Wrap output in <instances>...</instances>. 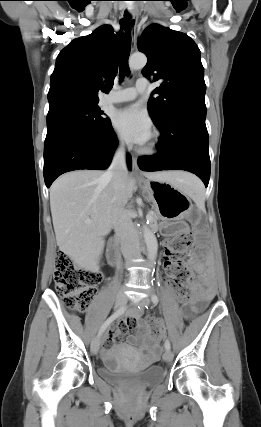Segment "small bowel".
<instances>
[{
  "mask_svg": "<svg viewBox=\"0 0 261 427\" xmlns=\"http://www.w3.org/2000/svg\"><path fill=\"white\" fill-rule=\"evenodd\" d=\"M196 269H202L199 264L191 262ZM165 269L167 271V258L165 255ZM202 282L205 288H202L201 285L195 284L193 286L194 300L193 302L186 306L184 309V315L186 318H190L194 313L201 310L206 302H208L215 293V286L213 280L208 274H204L202 277ZM140 311L135 312V318H128L120 320L116 326L113 328L111 335L104 341V348L108 349L112 347L118 340L119 337L124 336L129 331L131 333H136V335H129L127 338L128 344L132 347L133 355L135 357L140 356L141 350H146L148 353V359L150 362H155L159 358V345L160 336L157 338L146 337L144 334L143 321L138 319Z\"/></svg>",
  "mask_w": 261,
  "mask_h": 427,
  "instance_id": "1",
  "label": "small bowel"
}]
</instances>
